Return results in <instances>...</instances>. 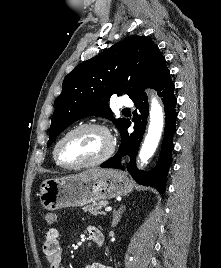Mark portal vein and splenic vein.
Returning a JSON list of instances; mask_svg holds the SVG:
<instances>
[{"instance_id":"portal-vein-and-splenic-vein-1","label":"portal vein and splenic vein","mask_w":221,"mask_h":268,"mask_svg":"<svg viewBox=\"0 0 221 268\" xmlns=\"http://www.w3.org/2000/svg\"><path fill=\"white\" fill-rule=\"evenodd\" d=\"M111 210H112V207H106V208H105V211H106V212H110Z\"/></svg>"}]
</instances>
